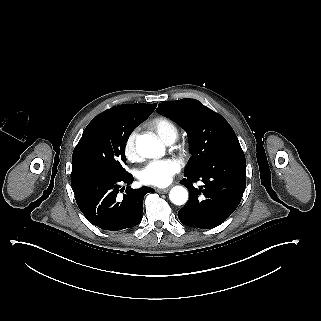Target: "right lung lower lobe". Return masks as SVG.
<instances>
[{
	"instance_id": "right-lung-lower-lobe-1",
	"label": "right lung lower lobe",
	"mask_w": 321,
	"mask_h": 321,
	"mask_svg": "<svg viewBox=\"0 0 321 321\" xmlns=\"http://www.w3.org/2000/svg\"><path fill=\"white\" fill-rule=\"evenodd\" d=\"M133 176L96 167H73L72 189L84 216L97 227L118 231L138 225L142 219L143 198L153 188H126L123 199L117 197L121 184L130 185ZM122 190V189H121Z\"/></svg>"
}]
</instances>
